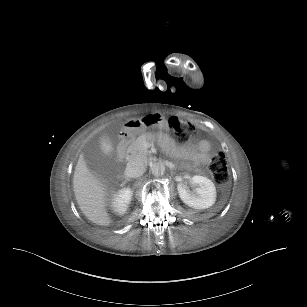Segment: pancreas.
Wrapping results in <instances>:
<instances>
[{"instance_id":"pancreas-1","label":"pancreas","mask_w":307,"mask_h":307,"mask_svg":"<svg viewBox=\"0 0 307 307\" xmlns=\"http://www.w3.org/2000/svg\"><path fill=\"white\" fill-rule=\"evenodd\" d=\"M146 142H147V139H146V134H142L140 135L133 143H132V146H134L136 149H132L131 150V153L134 154L136 152H141V153H147V150L145 148L146 146Z\"/></svg>"}]
</instances>
